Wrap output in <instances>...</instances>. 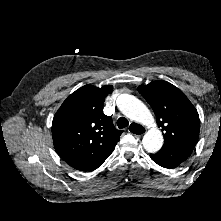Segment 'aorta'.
I'll use <instances>...</instances> for the list:
<instances>
[{"mask_svg":"<svg viewBox=\"0 0 221 221\" xmlns=\"http://www.w3.org/2000/svg\"><path fill=\"white\" fill-rule=\"evenodd\" d=\"M118 107L131 120L150 127L143 137L142 144L148 153L158 152L164 139L161 131L155 126V120L149 109L139 99L129 94H122L119 97Z\"/></svg>","mask_w":221,"mask_h":221,"instance_id":"1","label":"aorta"}]
</instances>
